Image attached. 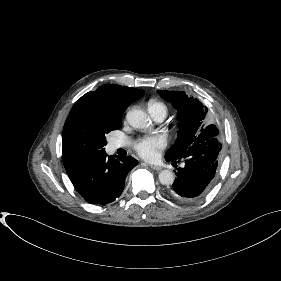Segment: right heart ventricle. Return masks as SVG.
Instances as JSON below:
<instances>
[{
	"label": "right heart ventricle",
	"instance_id": "e07e8e85",
	"mask_svg": "<svg viewBox=\"0 0 281 281\" xmlns=\"http://www.w3.org/2000/svg\"><path fill=\"white\" fill-rule=\"evenodd\" d=\"M148 111L152 116L163 114L167 115L168 109L165 103L152 99L148 102Z\"/></svg>",
	"mask_w": 281,
	"mask_h": 281
}]
</instances>
